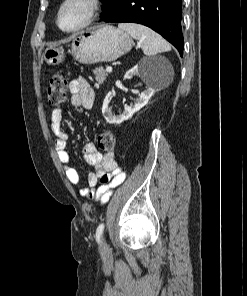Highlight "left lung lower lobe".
<instances>
[{"mask_svg":"<svg viewBox=\"0 0 247 296\" xmlns=\"http://www.w3.org/2000/svg\"><path fill=\"white\" fill-rule=\"evenodd\" d=\"M182 0H112L101 15L104 22L139 23L150 27L183 55Z\"/></svg>","mask_w":247,"mask_h":296,"instance_id":"0a47b994","label":"left lung lower lobe"}]
</instances>
